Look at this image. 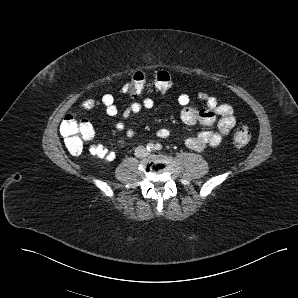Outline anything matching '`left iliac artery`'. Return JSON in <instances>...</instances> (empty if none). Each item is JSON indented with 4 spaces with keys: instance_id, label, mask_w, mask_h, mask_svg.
I'll use <instances>...</instances> for the list:
<instances>
[{
    "instance_id": "1",
    "label": "left iliac artery",
    "mask_w": 298,
    "mask_h": 298,
    "mask_svg": "<svg viewBox=\"0 0 298 298\" xmlns=\"http://www.w3.org/2000/svg\"><path fill=\"white\" fill-rule=\"evenodd\" d=\"M162 149V145L160 143H157L155 145V150L160 151Z\"/></svg>"
}]
</instances>
